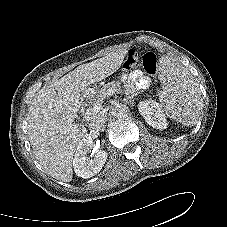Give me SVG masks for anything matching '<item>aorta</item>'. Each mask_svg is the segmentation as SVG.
Listing matches in <instances>:
<instances>
[{"mask_svg":"<svg viewBox=\"0 0 227 227\" xmlns=\"http://www.w3.org/2000/svg\"><path fill=\"white\" fill-rule=\"evenodd\" d=\"M128 107L123 104H118L112 109V113L114 116L121 118L125 117L128 114Z\"/></svg>","mask_w":227,"mask_h":227,"instance_id":"762f6f07","label":"aorta"}]
</instances>
